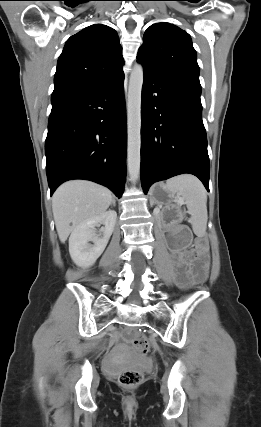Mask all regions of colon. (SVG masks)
<instances>
[{
  "mask_svg": "<svg viewBox=\"0 0 261 427\" xmlns=\"http://www.w3.org/2000/svg\"><path fill=\"white\" fill-rule=\"evenodd\" d=\"M133 345L137 351L143 355L149 351L148 339L143 335H136L132 339ZM143 381V374L137 370H128L122 372L118 377L119 384L124 388H135Z\"/></svg>",
  "mask_w": 261,
  "mask_h": 427,
  "instance_id": "5ec220e1",
  "label": "colon"
}]
</instances>
